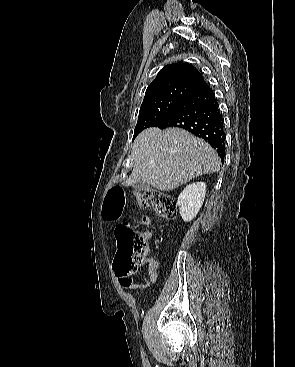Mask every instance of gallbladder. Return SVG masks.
I'll return each mask as SVG.
<instances>
[{
  "mask_svg": "<svg viewBox=\"0 0 295 367\" xmlns=\"http://www.w3.org/2000/svg\"><path fill=\"white\" fill-rule=\"evenodd\" d=\"M134 189L135 191H146V190H149L150 189V185L146 182H143V181H137L135 184H134Z\"/></svg>",
  "mask_w": 295,
  "mask_h": 367,
  "instance_id": "obj_1",
  "label": "gallbladder"
}]
</instances>
